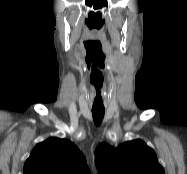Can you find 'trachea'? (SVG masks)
<instances>
[{
  "instance_id": "trachea-1",
  "label": "trachea",
  "mask_w": 187,
  "mask_h": 174,
  "mask_svg": "<svg viewBox=\"0 0 187 174\" xmlns=\"http://www.w3.org/2000/svg\"><path fill=\"white\" fill-rule=\"evenodd\" d=\"M105 109L92 108L93 120L96 125H100L104 117Z\"/></svg>"
}]
</instances>
